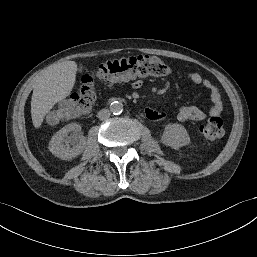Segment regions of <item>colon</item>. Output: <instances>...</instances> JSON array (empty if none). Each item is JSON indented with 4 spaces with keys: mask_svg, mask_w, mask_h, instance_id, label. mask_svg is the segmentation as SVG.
I'll list each match as a JSON object with an SVG mask.
<instances>
[{
    "mask_svg": "<svg viewBox=\"0 0 257 257\" xmlns=\"http://www.w3.org/2000/svg\"><path fill=\"white\" fill-rule=\"evenodd\" d=\"M167 66L162 59L153 55H138L106 61L93 71L84 74L78 90L69 100L56 106L47 116L48 121L57 123L85 114L97 98L96 86L99 83L113 84L142 77L163 76ZM200 134L207 140L223 136L224 124L221 118L211 117L199 127Z\"/></svg>",
    "mask_w": 257,
    "mask_h": 257,
    "instance_id": "colon-1",
    "label": "colon"
}]
</instances>
